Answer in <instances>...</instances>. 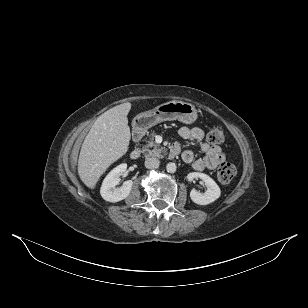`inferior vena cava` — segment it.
Instances as JSON below:
<instances>
[{
	"mask_svg": "<svg viewBox=\"0 0 308 308\" xmlns=\"http://www.w3.org/2000/svg\"><path fill=\"white\" fill-rule=\"evenodd\" d=\"M159 160L155 157H149L145 160V167L148 169H154L159 167Z\"/></svg>",
	"mask_w": 308,
	"mask_h": 308,
	"instance_id": "1",
	"label": "inferior vena cava"
}]
</instances>
